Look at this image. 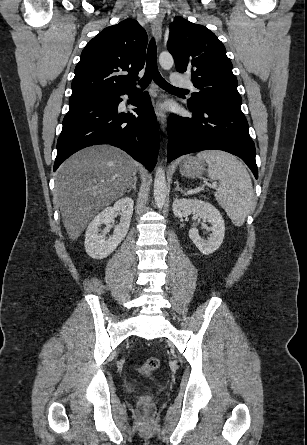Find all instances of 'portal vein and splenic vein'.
<instances>
[{"mask_svg":"<svg viewBox=\"0 0 307 445\" xmlns=\"http://www.w3.org/2000/svg\"><path fill=\"white\" fill-rule=\"evenodd\" d=\"M210 186H212V188H216L217 182H212V184H210ZM197 190H204V186H199V188H197Z\"/></svg>","mask_w":307,"mask_h":445,"instance_id":"portal-vein-and-splenic-vein-1","label":"portal vein and splenic vein"}]
</instances>
